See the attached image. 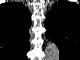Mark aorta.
<instances>
[{"label":"aorta","mask_w":80,"mask_h":60,"mask_svg":"<svg viewBox=\"0 0 80 60\" xmlns=\"http://www.w3.org/2000/svg\"><path fill=\"white\" fill-rule=\"evenodd\" d=\"M48 49L52 50L53 52H55L56 56L58 57L59 50H58V47L54 43L49 44L48 45Z\"/></svg>","instance_id":"obj_1"}]
</instances>
